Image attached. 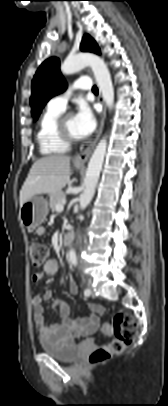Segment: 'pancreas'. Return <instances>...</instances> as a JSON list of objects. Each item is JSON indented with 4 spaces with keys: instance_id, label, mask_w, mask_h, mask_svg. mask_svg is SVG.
I'll use <instances>...</instances> for the list:
<instances>
[{
    "instance_id": "pancreas-1",
    "label": "pancreas",
    "mask_w": 168,
    "mask_h": 406,
    "mask_svg": "<svg viewBox=\"0 0 168 406\" xmlns=\"http://www.w3.org/2000/svg\"><path fill=\"white\" fill-rule=\"evenodd\" d=\"M66 200V196L63 191H59L53 195H50V208L54 212L56 211V205L62 204Z\"/></svg>"
}]
</instances>
